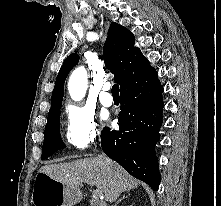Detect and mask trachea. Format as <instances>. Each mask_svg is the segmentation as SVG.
I'll use <instances>...</instances> for the list:
<instances>
[{
	"label": "trachea",
	"instance_id": "trachea-1",
	"mask_svg": "<svg viewBox=\"0 0 221 206\" xmlns=\"http://www.w3.org/2000/svg\"><path fill=\"white\" fill-rule=\"evenodd\" d=\"M111 92H112L113 97L114 96L119 97V86L117 84L113 85Z\"/></svg>",
	"mask_w": 221,
	"mask_h": 206
}]
</instances>
